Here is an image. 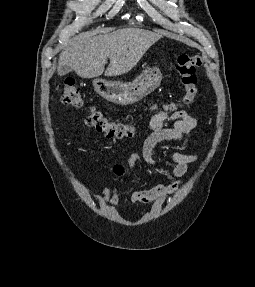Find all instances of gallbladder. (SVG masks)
<instances>
[{
  "label": "gallbladder",
  "instance_id": "bac80fb5",
  "mask_svg": "<svg viewBox=\"0 0 255 287\" xmlns=\"http://www.w3.org/2000/svg\"><path fill=\"white\" fill-rule=\"evenodd\" d=\"M57 72L58 76H65V74H69V72H71V68H69V66H60Z\"/></svg>",
  "mask_w": 255,
  "mask_h": 287
}]
</instances>
